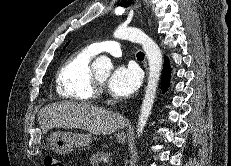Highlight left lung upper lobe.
I'll return each mask as SVG.
<instances>
[{
	"instance_id": "5c2ea615",
	"label": "left lung upper lobe",
	"mask_w": 231,
	"mask_h": 166,
	"mask_svg": "<svg viewBox=\"0 0 231 166\" xmlns=\"http://www.w3.org/2000/svg\"><path fill=\"white\" fill-rule=\"evenodd\" d=\"M68 44H69V42L66 44V46H67ZM66 46H65V47H66ZM65 47H64V48H65Z\"/></svg>"
}]
</instances>
